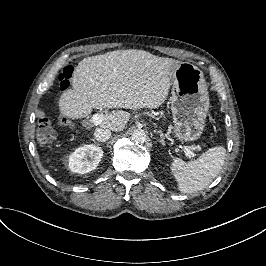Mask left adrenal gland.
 Returning <instances> with one entry per match:
<instances>
[{
	"label": "left adrenal gland",
	"mask_w": 266,
	"mask_h": 266,
	"mask_svg": "<svg viewBox=\"0 0 266 266\" xmlns=\"http://www.w3.org/2000/svg\"><path fill=\"white\" fill-rule=\"evenodd\" d=\"M158 133L160 134V137H161L162 142L165 143L164 134L161 131H158Z\"/></svg>",
	"instance_id": "obj_1"
}]
</instances>
